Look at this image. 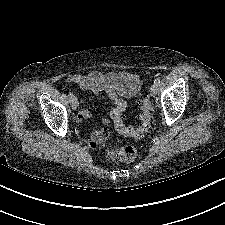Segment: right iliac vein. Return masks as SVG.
<instances>
[{"label":"right iliac vein","instance_id":"obj_1","mask_svg":"<svg viewBox=\"0 0 225 225\" xmlns=\"http://www.w3.org/2000/svg\"><path fill=\"white\" fill-rule=\"evenodd\" d=\"M70 105L73 110H76L78 108V100L77 98L73 95L70 99Z\"/></svg>","mask_w":225,"mask_h":225}]
</instances>
